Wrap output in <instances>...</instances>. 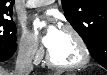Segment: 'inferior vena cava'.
Segmentation results:
<instances>
[{
    "instance_id": "inferior-vena-cava-1",
    "label": "inferior vena cava",
    "mask_w": 107,
    "mask_h": 75,
    "mask_svg": "<svg viewBox=\"0 0 107 75\" xmlns=\"http://www.w3.org/2000/svg\"><path fill=\"white\" fill-rule=\"evenodd\" d=\"M34 45H25L18 51L13 75H29L33 71Z\"/></svg>"
}]
</instances>
